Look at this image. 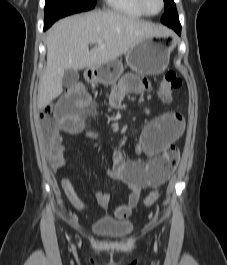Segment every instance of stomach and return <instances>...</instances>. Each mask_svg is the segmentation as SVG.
I'll return each mask as SVG.
<instances>
[{"label": "stomach", "instance_id": "obj_1", "mask_svg": "<svg viewBox=\"0 0 227 265\" xmlns=\"http://www.w3.org/2000/svg\"><path fill=\"white\" fill-rule=\"evenodd\" d=\"M173 46L158 37H147L140 40L127 51V65L142 75H158L169 65ZM123 65L118 60L109 61L100 66L89 67L85 78L92 83L114 84L123 73Z\"/></svg>", "mask_w": 227, "mask_h": 265}]
</instances>
